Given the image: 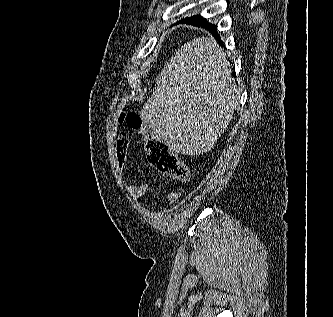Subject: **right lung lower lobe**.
<instances>
[{"instance_id": "obj_1", "label": "right lung lower lobe", "mask_w": 333, "mask_h": 317, "mask_svg": "<svg viewBox=\"0 0 333 317\" xmlns=\"http://www.w3.org/2000/svg\"><path fill=\"white\" fill-rule=\"evenodd\" d=\"M182 23H191L196 26H201L206 28L209 32L213 34V36L222 44L220 36L217 33V27L211 23H208L206 19L202 18L201 16H196L193 18H186L181 21Z\"/></svg>"}]
</instances>
